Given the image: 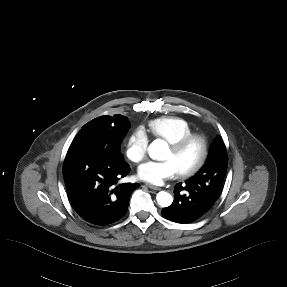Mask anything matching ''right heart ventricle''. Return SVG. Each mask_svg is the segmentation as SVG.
<instances>
[{"label":"right heart ventricle","instance_id":"1","mask_svg":"<svg viewBox=\"0 0 287 287\" xmlns=\"http://www.w3.org/2000/svg\"><path fill=\"white\" fill-rule=\"evenodd\" d=\"M149 132L168 144L175 143L194 133L190 122L178 116H163L150 120L147 124Z\"/></svg>","mask_w":287,"mask_h":287}]
</instances>
